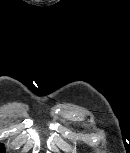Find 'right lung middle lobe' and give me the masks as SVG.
<instances>
[{"label":"right lung middle lobe","mask_w":130,"mask_h":153,"mask_svg":"<svg viewBox=\"0 0 130 153\" xmlns=\"http://www.w3.org/2000/svg\"><path fill=\"white\" fill-rule=\"evenodd\" d=\"M5 151H4V146H3V144H0V153H4Z\"/></svg>","instance_id":"1"}]
</instances>
